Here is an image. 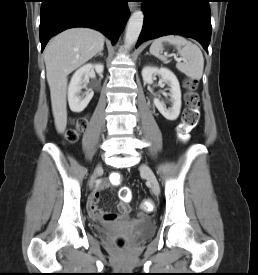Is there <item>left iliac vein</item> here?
<instances>
[{
    "label": "left iliac vein",
    "mask_w": 258,
    "mask_h": 275,
    "mask_svg": "<svg viewBox=\"0 0 258 275\" xmlns=\"http://www.w3.org/2000/svg\"><path fill=\"white\" fill-rule=\"evenodd\" d=\"M140 169H141V172L145 175L146 179L151 184L152 191L156 195H158L160 192L159 184H158L157 178H156L155 174L153 173V171L150 169V167H148L145 164H143Z\"/></svg>",
    "instance_id": "obj_1"
}]
</instances>
